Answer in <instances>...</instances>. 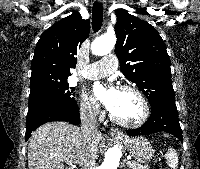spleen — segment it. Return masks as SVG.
I'll return each mask as SVG.
<instances>
[{
	"label": "spleen",
	"mask_w": 200,
	"mask_h": 169,
	"mask_svg": "<svg viewBox=\"0 0 200 169\" xmlns=\"http://www.w3.org/2000/svg\"><path fill=\"white\" fill-rule=\"evenodd\" d=\"M166 158L168 160V166L172 169H177L178 167V155L176 150L169 149V151L166 154Z\"/></svg>",
	"instance_id": "obj_1"
}]
</instances>
